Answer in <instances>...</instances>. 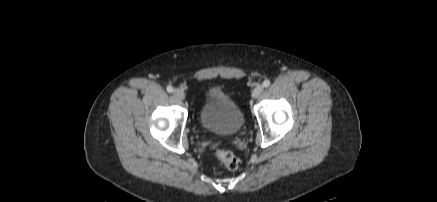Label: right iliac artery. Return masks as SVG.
<instances>
[{
  "label": "right iliac artery",
  "instance_id": "1",
  "mask_svg": "<svg viewBox=\"0 0 437 202\" xmlns=\"http://www.w3.org/2000/svg\"><path fill=\"white\" fill-rule=\"evenodd\" d=\"M167 91L169 92V93H171V92H173V87L172 86H167Z\"/></svg>",
  "mask_w": 437,
  "mask_h": 202
}]
</instances>
